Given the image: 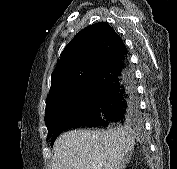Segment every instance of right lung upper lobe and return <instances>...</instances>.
Masks as SVG:
<instances>
[{"label":"right lung upper lobe","instance_id":"1","mask_svg":"<svg viewBox=\"0 0 177 169\" xmlns=\"http://www.w3.org/2000/svg\"><path fill=\"white\" fill-rule=\"evenodd\" d=\"M124 52L123 40L107 23L84 28L63 50L51 76L46 106L67 98Z\"/></svg>","mask_w":177,"mask_h":169}]
</instances>
